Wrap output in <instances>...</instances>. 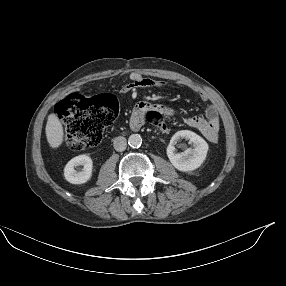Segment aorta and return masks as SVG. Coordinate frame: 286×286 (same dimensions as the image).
<instances>
[{"instance_id":"obj_1","label":"aorta","mask_w":286,"mask_h":286,"mask_svg":"<svg viewBox=\"0 0 286 286\" xmlns=\"http://www.w3.org/2000/svg\"><path fill=\"white\" fill-rule=\"evenodd\" d=\"M128 144L133 148H139L142 144V137L139 134H132L128 138Z\"/></svg>"}]
</instances>
